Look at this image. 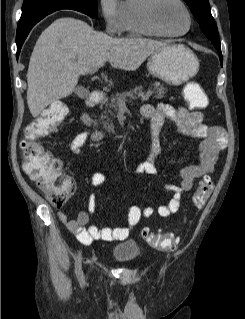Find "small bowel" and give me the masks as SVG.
Instances as JSON below:
<instances>
[{"label":"small bowel","mask_w":245,"mask_h":319,"mask_svg":"<svg viewBox=\"0 0 245 319\" xmlns=\"http://www.w3.org/2000/svg\"><path fill=\"white\" fill-rule=\"evenodd\" d=\"M141 115L151 121V147L149 160L136 168V173L138 174H157L154 160L160 150L156 137L166 120L172 122L181 134L199 142L198 162L182 169L180 184L168 187L172 194L170 201L157 208L159 216L168 217L179 210L182 195L192 189L195 180L213 171L218 154L226 145V134L219 127L205 125L200 112L184 106L174 107L163 103L157 106L145 104L141 108ZM89 137L88 131L76 134L68 143V148L77 155L81 154V148ZM105 180L104 173L96 172L91 175L90 184L97 187L102 185ZM96 207V198L94 194H90L87 211L80 212L75 219L69 220L64 211L58 213L59 219L67 225L69 231L82 244L89 245L94 241L117 242L124 240L129 236L133 227L141 220L150 218L155 212L151 206L142 208L133 204L128 210V227H106L100 229L89 223L90 217L96 211Z\"/></svg>","instance_id":"small-bowel-1"}]
</instances>
